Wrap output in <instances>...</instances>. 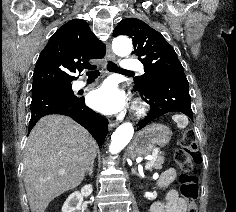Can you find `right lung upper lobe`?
Listing matches in <instances>:
<instances>
[{
	"label": "right lung upper lobe",
	"instance_id": "obj_1",
	"mask_svg": "<svg viewBox=\"0 0 236 212\" xmlns=\"http://www.w3.org/2000/svg\"><path fill=\"white\" fill-rule=\"evenodd\" d=\"M105 52L104 43L92 33L87 22L73 19L54 33L40 53L32 88L71 85L77 79L72 73L95 68L88 61L103 58Z\"/></svg>",
	"mask_w": 236,
	"mask_h": 212
}]
</instances>
